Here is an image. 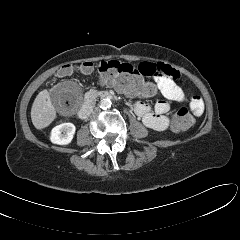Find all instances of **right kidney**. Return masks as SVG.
<instances>
[{"label": "right kidney", "instance_id": "obj_1", "mask_svg": "<svg viewBox=\"0 0 240 240\" xmlns=\"http://www.w3.org/2000/svg\"><path fill=\"white\" fill-rule=\"evenodd\" d=\"M75 125L72 123H62L55 126L51 131L50 140L59 145L69 144L75 133Z\"/></svg>", "mask_w": 240, "mask_h": 240}]
</instances>
